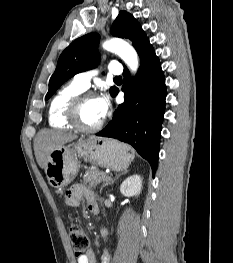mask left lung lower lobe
<instances>
[{
    "label": "left lung lower lobe",
    "instance_id": "1",
    "mask_svg": "<svg viewBox=\"0 0 233 263\" xmlns=\"http://www.w3.org/2000/svg\"><path fill=\"white\" fill-rule=\"evenodd\" d=\"M140 67L134 79L125 68L124 103L115 111L112 121L97 136L115 138L132 145L152 168L154 176L160 132L165 112L166 86L161 64L148 42L139 53ZM117 89L112 97H115Z\"/></svg>",
    "mask_w": 233,
    "mask_h": 263
}]
</instances>
